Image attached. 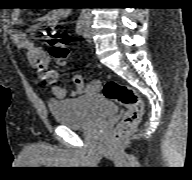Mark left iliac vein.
Segmentation results:
<instances>
[{"label": "left iliac vein", "instance_id": "left-iliac-vein-1", "mask_svg": "<svg viewBox=\"0 0 192 180\" xmlns=\"http://www.w3.org/2000/svg\"><path fill=\"white\" fill-rule=\"evenodd\" d=\"M83 37L87 41H91V39H92V33H91V29H90V22H88L86 24L85 28H84Z\"/></svg>", "mask_w": 192, "mask_h": 180}]
</instances>
